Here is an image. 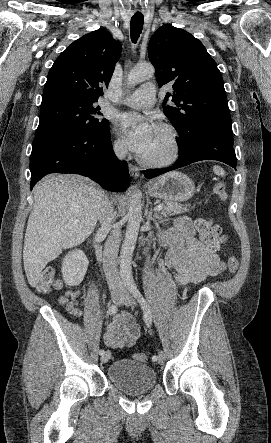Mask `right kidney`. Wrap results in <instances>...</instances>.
Returning a JSON list of instances; mask_svg holds the SVG:
<instances>
[{"mask_svg":"<svg viewBox=\"0 0 271 443\" xmlns=\"http://www.w3.org/2000/svg\"><path fill=\"white\" fill-rule=\"evenodd\" d=\"M88 259L82 249L68 251L62 261V277L66 285H79L88 267Z\"/></svg>","mask_w":271,"mask_h":443,"instance_id":"1","label":"right kidney"}]
</instances>
